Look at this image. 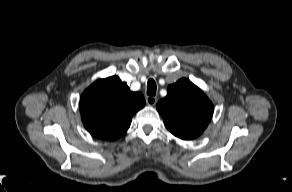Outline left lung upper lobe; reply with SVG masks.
Wrapping results in <instances>:
<instances>
[{
  "label": "left lung upper lobe",
  "instance_id": "obj_1",
  "mask_svg": "<svg viewBox=\"0 0 292 192\" xmlns=\"http://www.w3.org/2000/svg\"><path fill=\"white\" fill-rule=\"evenodd\" d=\"M165 127L176 137L190 140L202 134L213 115V104L188 79L170 85L167 96L157 103Z\"/></svg>",
  "mask_w": 292,
  "mask_h": 192
}]
</instances>
